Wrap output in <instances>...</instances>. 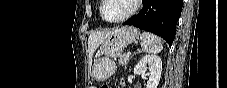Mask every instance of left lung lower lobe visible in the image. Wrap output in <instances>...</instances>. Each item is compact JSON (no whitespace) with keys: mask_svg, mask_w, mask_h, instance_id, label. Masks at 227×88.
Wrapping results in <instances>:
<instances>
[{"mask_svg":"<svg viewBox=\"0 0 227 88\" xmlns=\"http://www.w3.org/2000/svg\"><path fill=\"white\" fill-rule=\"evenodd\" d=\"M143 4L142 10L124 25H133L157 34L171 46L183 0H143Z\"/></svg>","mask_w":227,"mask_h":88,"instance_id":"1","label":"left lung lower lobe"}]
</instances>
